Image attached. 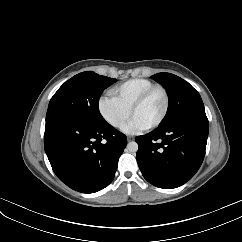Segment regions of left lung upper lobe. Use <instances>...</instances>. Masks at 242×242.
<instances>
[{"label":"left lung upper lobe","instance_id":"left-lung-upper-lobe-1","mask_svg":"<svg viewBox=\"0 0 242 242\" xmlns=\"http://www.w3.org/2000/svg\"><path fill=\"white\" fill-rule=\"evenodd\" d=\"M152 78L164 86L169 96L168 111L159 127L186 115L205 113L199 93L182 78L171 73H158Z\"/></svg>","mask_w":242,"mask_h":242}]
</instances>
